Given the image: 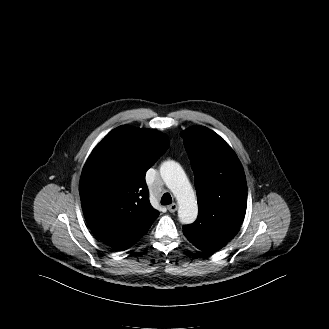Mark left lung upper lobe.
I'll return each mask as SVG.
<instances>
[{
    "mask_svg": "<svg viewBox=\"0 0 329 329\" xmlns=\"http://www.w3.org/2000/svg\"><path fill=\"white\" fill-rule=\"evenodd\" d=\"M195 174L199 214L184 226L188 240L218 238L221 231L237 233L247 206L243 167L232 148L215 132L193 126L181 133Z\"/></svg>",
    "mask_w": 329,
    "mask_h": 329,
    "instance_id": "5c2ea615",
    "label": "left lung upper lobe"
}]
</instances>
